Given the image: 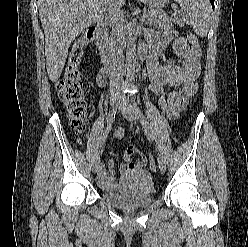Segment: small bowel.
<instances>
[{
	"label": "small bowel",
	"instance_id": "c3829d8e",
	"mask_svg": "<svg viewBox=\"0 0 248 247\" xmlns=\"http://www.w3.org/2000/svg\"><path fill=\"white\" fill-rule=\"evenodd\" d=\"M174 37L173 31L157 33L150 39L146 51L148 58V76L150 87L156 96L163 93L165 86L177 88L169 92V118H175L186 106L190 98L198 89L197 79L200 74L201 49L199 45L189 44L186 39L178 37L173 43L174 53L181 59V66L173 63L162 64L160 59L162 51L167 47ZM105 71L103 70L96 78L99 87H103L106 82ZM124 134L122 128L115 131V136L121 138ZM136 158L133 159V156ZM124 159L126 163L120 166L121 178L114 177V162L109 160L106 165L102 164L98 171V182L104 188H119L123 178L133 170L144 168L147 157L135 147L127 148Z\"/></svg>",
	"mask_w": 248,
	"mask_h": 247
}]
</instances>
